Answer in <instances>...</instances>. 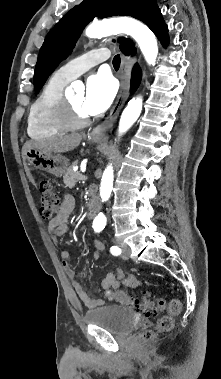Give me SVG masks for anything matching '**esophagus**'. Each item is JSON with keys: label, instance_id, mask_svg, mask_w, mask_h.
<instances>
[{"label": "esophagus", "instance_id": "1", "mask_svg": "<svg viewBox=\"0 0 221 379\" xmlns=\"http://www.w3.org/2000/svg\"><path fill=\"white\" fill-rule=\"evenodd\" d=\"M120 89L117 94L115 103L103 122L97 125L92 132L90 133L93 137L104 136L106 132L113 126L115 123L121 109L123 108L128 94L130 86V61L129 58L124 54H121V66H120Z\"/></svg>", "mask_w": 221, "mask_h": 379}]
</instances>
